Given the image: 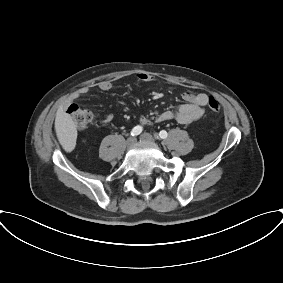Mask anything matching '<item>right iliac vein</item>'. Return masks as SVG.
I'll use <instances>...</instances> for the list:
<instances>
[{"label":"right iliac vein","mask_w":283,"mask_h":283,"mask_svg":"<svg viewBox=\"0 0 283 283\" xmlns=\"http://www.w3.org/2000/svg\"><path fill=\"white\" fill-rule=\"evenodd\" d=\"M135 138L134 137H129L128 139H127V141H126V145L128 146V147H130V146H132L134 143H135Z\"/></svg>","instance_id":"right-iliac-vein-1"}]
</instances>
